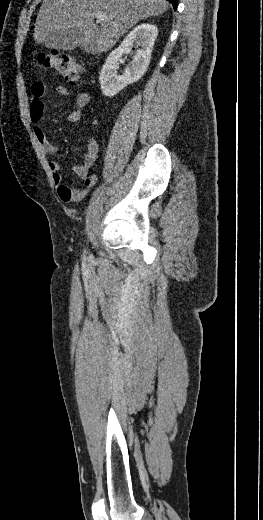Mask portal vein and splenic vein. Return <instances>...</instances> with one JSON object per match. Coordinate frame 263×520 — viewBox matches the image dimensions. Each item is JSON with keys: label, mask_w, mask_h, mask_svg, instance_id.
Here are the masks:
<instances>
[{"label": "portal vein and splenic vein", "mask_w": 263, "mask_h": 520, "mask_svg": "<svg viewBox=\"0 0 263 520\" xmlns=\"http://www.w3.org/2000/svg\"><path fill=\"white\" fill-rule=\"evenodd\" d=\"M95 17L97 20H102L104 18L108 19V17L105 14H103L102 12L95 13ZM111 19H112V17H111Z\"/></svg>", "instance_id": "portal-vein-and-splenic-vein-1"}]
</instances>
